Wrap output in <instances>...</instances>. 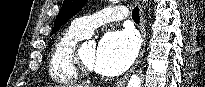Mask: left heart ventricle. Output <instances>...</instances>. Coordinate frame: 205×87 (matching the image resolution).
<instances>
[{
	"mask_svg": "<svg viewBox=\"0 0 205 87\" xmlns=\"http://www.w3.org/2000/svg\"><path fill=\"white\" fill-rule=\"evenodd\" d=\"M96 47L95 46H82L81 47V57L83 62L90 67L91 69H94V60L96 56Z\"/></svg>",
	"mask_w": 205,
	"mask_h": 87,
	"instance_id": "1",
	"label": "left heart ventricle"
}]
</instances>
